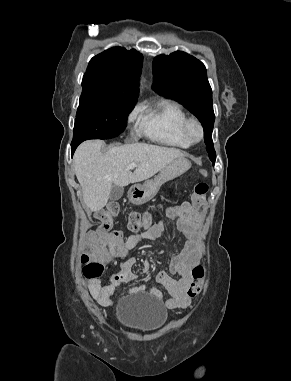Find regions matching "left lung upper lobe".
<instances>
[{
  "label": "left lung upper lobe",
  "instance_id": "obj_1",
  "mask_svg": "<svg viewBox=\"0 0 291 381\" xmlns=\"http://www.w3.org/2000/svg\"><path fill=\"white\" fill-rule=\"evenodd\" d=\"M153 88L160 95L172 98L192 112L204 127V140L209 158L215 164L212 141L215 121L212 90L204 64L195 57L176 51L157 56L153 61Z\"/></svg>",
  "mask_w": 291,
  "mask_h": 381
}]
</instances>
